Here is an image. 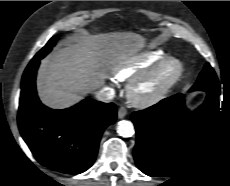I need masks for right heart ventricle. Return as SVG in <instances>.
<instances>
[{"instance_id": "obj_1", "label": "right heart ventricle", "mask_w": 230, "mask_h": 186, "mask_svg": "<svg viewBox=\"0 0 230 186\" xmlns=\"http://www.w3.org/2000/svg\"><path fill=\"white\" fill-rule=\"evenodd\" d=\"M164 56L165 54L162 51L147 52L133 61L121 63L114 68L113 74L119 81H126L136 74L149 69Z\"/></svg>"}]
</instances>
